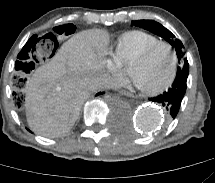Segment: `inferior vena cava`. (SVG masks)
Instances as JSON below:
<instances>
[{"instance_id":"602c4592","label":"inferior vena cava","mask_w":215,"mask_h":183,"mask_svg":"<svg viewBox=\"0 0 215 183\" xmlns=\"http://www.w3.org/2000/svg\"><path fill=\"white\" fill-rule=\"evenodd\" d=\"M111 84V78L107 74H103L100 77L89 82L87 87L90 91L95 92L100 88H108L111 86Z\"/></svg>"}]
</instances>
